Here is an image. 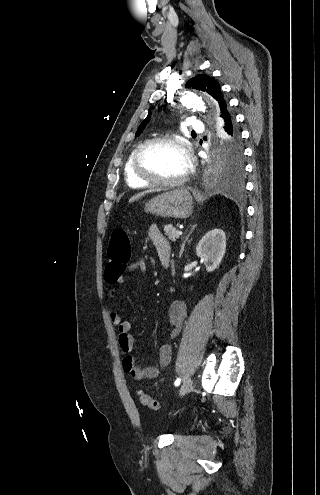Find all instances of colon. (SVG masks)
<instances>
[{"mask_svg": "<svg viewBox=\"0 0 320 495\" xmlns=\"http://www.w3.org/2000/svg\"><path fill=\"white\" fill-rule=\"evenodd\" d=\"M107 255L108 263L105 276L108 280L117 281L131 258L130 238L125 229L117 228L113 231L107 246ZM138 397L142 405L153 411L159 409V402L143 391L138 392Z\"/></svg>", "mask_w": 320, "mask_h": 495, "instance_id": "obj_1", "label": "colon"}]
</instances>
